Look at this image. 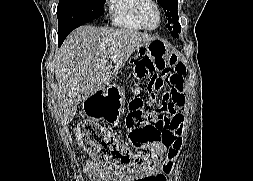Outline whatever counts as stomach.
<instances>
[{
    "mask_svg": "<svg viewBox=\"0 0 253 181\" xmlns=\"http://www.w3.org/2000/svg\"><path fill=\"white\" fill-rule=\"evenodd\" d=\"M121 95V88L116 85L99 90L83 101V112L91 119L118 122L123 113Z\"/></svg>",
    "mask_w": 253,
    "mask_h": 181,
    "instance_id": "stomach-1",
    "label": "stomach"
}]
</instances>
